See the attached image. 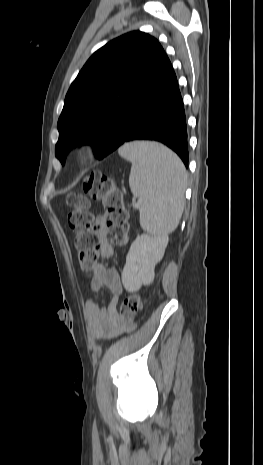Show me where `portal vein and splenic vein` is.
Listing matches in <instances>:
<instances>
[{"label":"portal vein and splenic vein","mask_w":263,"mask_h":465,"mask_svg":"<svg viewBox=\"0 0 263 465\" xmlns=\"http://www.w3.org/2000/svg\"><path fill=\"white\" fill-rule=\"evenodd\" d=\"M133 206H134V207H139V206H140V203H139V202H134V203H133Z\"/></svg>","instance_id":"obj_1"}]
</instances>
